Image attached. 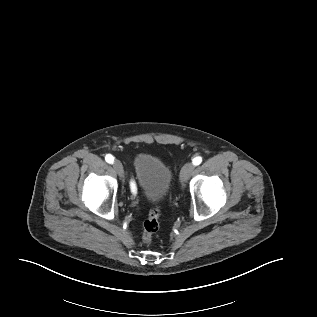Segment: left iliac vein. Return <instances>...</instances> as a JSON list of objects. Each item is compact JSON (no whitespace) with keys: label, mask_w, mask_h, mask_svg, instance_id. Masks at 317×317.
I'll use <instances>...</instances> for the list:
<instances>
[{"label":"left iliac vein","mask_w":317,"mask_h":317,"mask_svg":"<svg viewBox=\"0 0 317 317\" xmlns=\"http://www.w3.org/2000/svg\"><path fill=\"white\" fill-rule=\"evenodd\" d=\"M194 171V165L191 162L186 163L180 172V180L182 183L187 182Z\"/></svg>","instance_id":"1"}]
</instances>
